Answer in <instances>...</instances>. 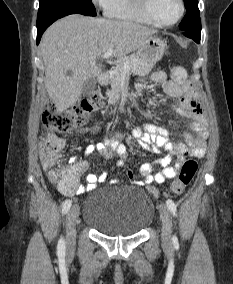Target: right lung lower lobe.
I'll return each mask as SVG.
<instances>
[{
    "label": "right lung lower lobe",
    "mask_w": 233,
    "mask_h": 284,
    "mask_svg": "<svg viewBox=\"0 0 233 284\" xmlns=\"http://www.w3.org/2000/svg\"><path fill=\"white\" fill-rule=\"evenodd\" d=\"M53 22H54V21H53ZM53 22H49V23H47V24H45V25H42V26L37 27V29H38V33H37V44L39 43L43 32H44V31L46 30V28H47L48 26H50Z\"/></svg>",
    "instance_id": "right-lung-lower-lobe-1"
}]
</instances>
